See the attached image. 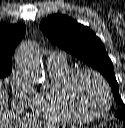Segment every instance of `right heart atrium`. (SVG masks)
Instances as JSON below:
<instances>
[{"instance_id": "obj_1", "label": "right heart atrium", "mask_w": 125, "mask_h": 128, "mask_svg": "<svg viewBox=\"0 0 125 128\" xmlns=\"http://www.w3.org/2000/svg\"><path fill=\"white\" fill-rule=\"evenodd\" d=\"M13 102L16 106L24 108L29 106L35 95V90L27 76L21 70H16L11 75Z\"/></svg>"}]
</instances>
